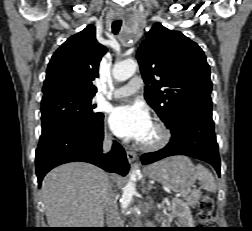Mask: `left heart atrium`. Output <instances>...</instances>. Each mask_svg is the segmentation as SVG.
I'll return each mask as SVG.
<instances>
[{
    "instance_id": "1",
    "label": "left heart atrium",
    "mask_w": 252,
    "mask_h": 231,
    "mask_svg": "<svg viewBox=\"0 0 252 231\" xmlns=\"http://www.w3.org/2000/svg\"><path fill=\"white\" fill-rule=\"evenodd\" d=\"M108 122L117 136L140 142L153 126L148 110L137 102L114 107L110 112Z\"/></svg>"
}]
</instances>
